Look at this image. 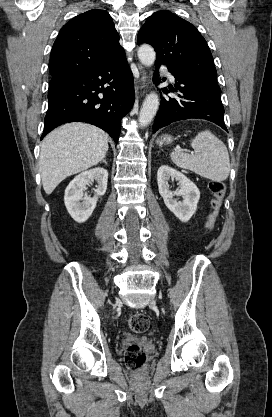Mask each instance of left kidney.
<instances>
[{
	"instance_id": "left-kidney-1",
	"label": "left kidney",
	"mask_w": 272,
	"mask_h": 417,
	"mask_svg": "<svg viewBox=\"0 0 272 417\" xmlns=\"http://www.w3.org/2000/svg\"><path fill=\"white\" fill-rule=\"evenodd\" d=\"M175 179L180 185L178 191L169 190L168 180ZM157 183L159 193L162 196L167 208L182 222H187L196 212L200 198V191L197 186L183 173L163 165L157 172ZM174 196H181L182 202L177 201Z\"/></svg>"
}]
</instances>
